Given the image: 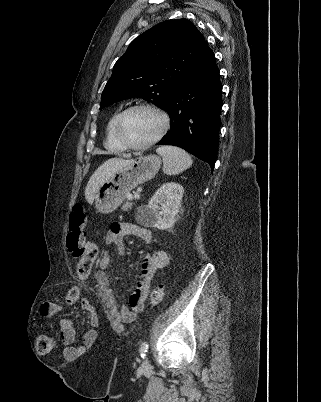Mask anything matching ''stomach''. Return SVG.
<instances>
[{"instance_id":"obj_1","label":"stomach","mask_w":321,"mask_h":402,"mask_svg":"<svg viewBox=\"0 0 321 402\" xmlns=\"http://www.w3.org/2000/svg\"><path fill=\"white\" fill-rule=\"evenodd\" d=\"M161 159L155 154L139 157L112 174L95 192V208L108 214L116 210L131 190L152 179L159 171Z\"/></svg>"}]
</instances>
